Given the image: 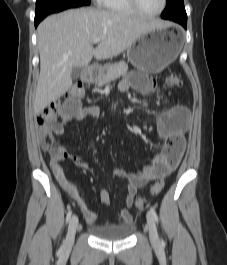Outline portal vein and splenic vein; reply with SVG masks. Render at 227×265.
<instances>
[{"label": "portal vein and splenic vein", "mask_w": 227, "mask_h": 265, "mask_svg": "<svg viewBox=\"0 0 227 265\" xmlns=\"http://www.w3.org/2000/svg\"><path fill=\"white\" fill-rule=\"evenodd\" d=\"M100 42V38H95L94 40H93V43H99Z\"/></svg>", "instance_id": "1"}]
</instances>
